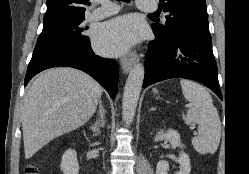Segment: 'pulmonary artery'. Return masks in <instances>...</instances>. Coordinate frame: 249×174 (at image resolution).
<instances>
[{"instance_id":"e3ab8cb5","label":"pulmonary artery","mask_w":249,"mask_h":174,"mask_svg":"<svg viewBox=\"0 0 249 174\" xmlns=\"http://www.w3.org/2000/svg\"><path fill=\"white\" fill-rule=\"evenodd\" d=\"M100 7L95 9L91 15V20H101L118 11V6L110 0H98ZM138 9L142 12L152 13L157 9L155 0H137Z\"/></svg>"}]
</instances>
